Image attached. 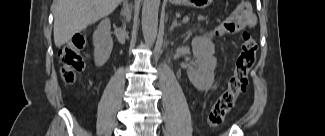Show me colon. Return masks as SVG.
Returning a JSON list of instances; mask_svg holds the SVG:
<instances>
[{
    "label": "colon",
    "mask_w": 325,
    "mask_h": 136,
    "mask_svg": "<svg viewBox=\"0 0 325 136\" xmlns=\"http://www.w3.org/2000/svg\"><path fill=\"white\" fill-rule=\"evenodd\" d=\"M241 50L236 60L235 70L229 78L227 89L217 98L208 114V124L218 126L233 108L239 95L244 93L248 84V77L257 53V44L248 33H242ZM87 40L83 35L75 36L67 42L58 55L61 76L65 84L76 81L84 69L83 51Z\"/></svg>",
    "instance_id": "1"
}]
</instances>
